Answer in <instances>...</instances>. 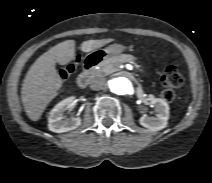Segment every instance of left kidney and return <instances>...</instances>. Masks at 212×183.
<instances>
[{
    "label": "left kidney",
    "instance_id": "left-kidney-1",
    "mask_svg": "<svg viewBox=\"0 0 212 183\" xmlns=\"http://www.w3.org/2000/svg\"><path fill=\"white\" fill-rule=\"evenodd\" d=\"M148 99L150 100V103L155 106L156 117H147L146 115H143L139 122L143 127L148 128L149 130H162L167 126L170 108L167 102L163 99L155 98L153 95H149Z\"/></svg>",
    "mask_w": 212,
    "mask_h": 183
}]
</instances>
